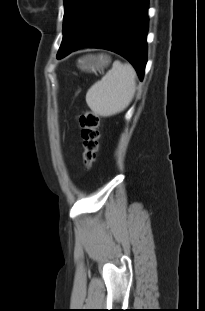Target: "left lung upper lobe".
<instances>
[{
  "mask_svg": "<svg viewBox=\"0 0 205 311\" xmlns=\"http://www.w3.org/2000/svg\"><path fill=\"white\" fill-rule=\"evenodd\" d=\"M116 1L64 0L63 40L58 55L84 39L102 21Z\"/></svg>",
  "mask_w": 205,
  "mask_h": 311,
  "instance_id": "left-lung-upper-lobe-1",
  "label": "left lung upper lobe"
}]
</instances>
